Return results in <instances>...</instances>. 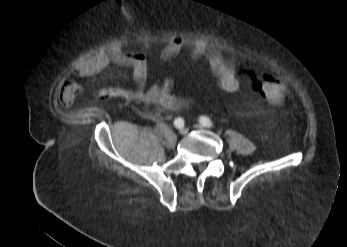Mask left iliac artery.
Listing matches in <instances>:
<instances>
[{
	"label": "left iliac artery",
	"instance_id": "left-iliac-artery-1",
	"mask_svg": "<svg viewBox=\"0 0 347 247\" xmlns=\"http://www.w3.org/2000/svg\"><path fill=\"white\" fill-rule=\"evenodd\" d=\"M200 123L205 127H213V122L207 116H201L200 117Z\"/></svg>",
	"mask_w": 347,
	"mask_h": 247
}]
</instances>
